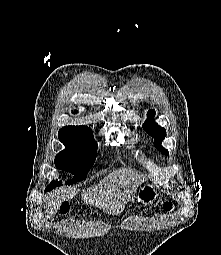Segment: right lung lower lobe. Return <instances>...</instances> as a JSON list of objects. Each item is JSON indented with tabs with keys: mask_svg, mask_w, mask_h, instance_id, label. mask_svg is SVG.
Returning a JSON list of instances; mask_svg holds the SVG:
<instances>
[{
	"mask_svg": "<svg viewBox=\"0 0 221 255\" xmlns=\"http://www.w3.org/2000/svg\"><path fill=\"white\" fill-rule=\"evenodd\" d=\"M51 189L46 188L45 191H50Z\"/></svg>",
	"mask_w": 221,
	"mask_h": 255,
	"instance_id": "1",
	"label": "right lung lower lobe"
}]
</instances>
